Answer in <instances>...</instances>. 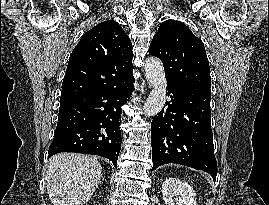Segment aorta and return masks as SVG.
I'll use <instances>...</instances> for the list:
<instances>
[{
  "mask_svg": "<svg viewBox=\"0 0 269 205\" xmlns=\"http://www.w3.org/2000/svg\"><path fill=\"white\" fill-rule=\"evenodd\" d=\"M145 75L152 90L143 107L145 116L157 115L166 102V79L164 68L156 57L147 58L144 65Z\"/></svg>",
  "mask_w": 269,
  "mask_h": 205,
  "instance_id": "1",
  "label": "aorta"
}]
</instances>
